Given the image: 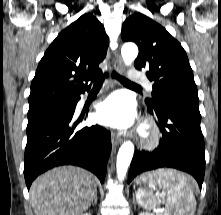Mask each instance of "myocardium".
<instances>
[{"label": "myocardium", "mask_w": 221, "mask_h": 215, "mask_svg": "<svg viewBox=\"0 0 221 215\" xmlns=\"http://www.w3.org/2000/svg\"><path fill=\"white\" fill-rule=\"evenodd\" d=\"M160 139L159 130L149 122H145L138 131L137 142L141 147L154 148Z\"/></svg>", "instance_id": "f54148a6"}]
</instances>
